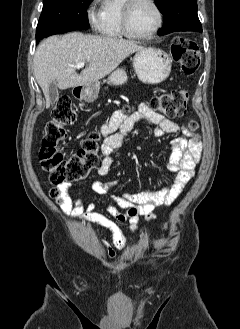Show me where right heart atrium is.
<instances>
[{"instance_id": "right-heart-atrium-1", "label": "right heart atrium", "mask_w": 240, "mask_h": 329, "mask_svg": "<svg viewBox=\"0 0 240 329\" xmlns=\"http://www.w3.org/2000/svg\"><path fill=\"white\" fill-rule=\"evenodd\" d=\"M87 16H88V19H89V22L91 23V25H96L97 24L99 16L97 18L95 12L92 9L88 10Z\"/></svg>"}]
</instances>
